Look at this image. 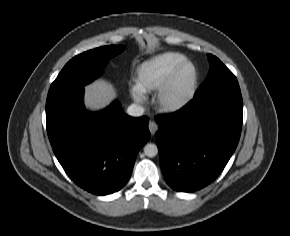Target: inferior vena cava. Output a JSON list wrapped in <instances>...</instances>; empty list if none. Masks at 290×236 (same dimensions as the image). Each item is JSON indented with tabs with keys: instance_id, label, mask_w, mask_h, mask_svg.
<instances>
[{
	"instance_id": "1",
	"label": "inferior vena cava",
	"mask_w": 290,
	"mask_h": 236,
	"mask_svg": "<svg viewBox=\"0 0 290 236\" xmlns=\"http://www.w3.org/2000/svg\"><path fill=\"white\" fill-rule=\"evenodd\" d=\"M144 113V108L137 104H131L127 109V114L133 117H140Z\"/></svg>"
}]
</instances>
